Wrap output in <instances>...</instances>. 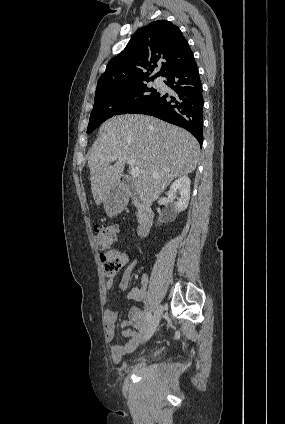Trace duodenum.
I'll return each mask as SVG.
<instances>
[{"instance_id":"1","label":"duodenum","mask_w":285,"mask_h":424,"mask_svg":"<svg viewBox=\"0 0 285 424\" xmlns=\"http://www.w3.org/2000/svg\"><path fill=\"white\" fill-rule=\"evenodd\" d=\"M120 187L126 194L133 193L136 190V181L133 177L123 176L120 178ZM137 209L139 213L137 233L140 237H146L153 224L154 212L142 199H137Z\"/></svg>"}]
</instances>
